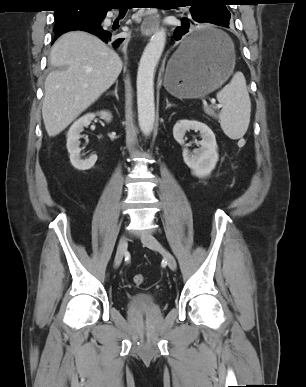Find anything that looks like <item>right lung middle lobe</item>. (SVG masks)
Segmentation results:
<instances>
[{
  "label": "right lung middle lobe",
  "instance_id": "right-lung-middle-lobe-1",
  "mask_svg": "<svg viewBox=\"0 0 306 387\" xmlns=\"http://www.w3.org/2000/svg\"><path fill=\"white\" fill-rule=\"evenodd\" d=\"M103 11L97 7H85L82 10H74L71 8H60L55 11V27L54 31H62L65 28L84 23H91L92 20L100 17Z\"/></svg>",
  "mask_w": 306,
  "mask_h": 387
}]
</instances>
